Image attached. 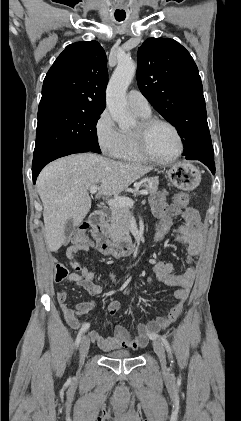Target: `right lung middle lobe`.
Returning a JSON list of instances; mask_svg holds the SVG:
<instances>
[{
	"label": "right lung middle lobe",
	"instance_id": "1",
	"mask_svg": "<svg viewBox=\"0 0 241 421\" xmlns=\"http://www.w3.org/2000/svg\"><path fill=\"white\" fill-rule=\"evenodd\" d=\"M102 112L65 108L39 110L34 159L69 149L101 153L96 124Z\"/></svg>",
	"mask_w": 241,
	"mask_h": 421
}]
</instances>
